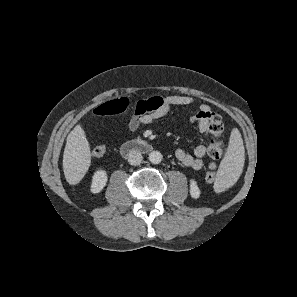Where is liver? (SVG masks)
<instances>
[{"instance_id":"1","label":"liver","mask_w":297,"mask_h":297,"mask_svg":"<svg viewBox=\"0 0 297 297\" xmlns=\"http://www.w3.org/2000/svg\"><path fill=\"white\" fill-rule=\"evenodd\" d=\"M91 163L89 142L80 125L69 133L63 153V171L66 181L78 184L86 174Z\"/></svg>"}]
</instances>
